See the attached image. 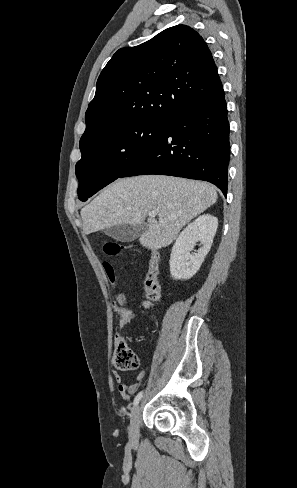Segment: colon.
Segmentation results:
<instances>
[{"instance_id":"obj_1","label":"colon","mask_w":297,"mask_h":488,"mask_svg":"<svg viewBox=\"0 0 297 488\" xmlns=\"http://www.w3.org/2000/svg\"><path fill=\"white\" fill-rule=\"evenodd\" d=\"M124 248V245L114 242H108L104 245L105 253L110 256L117 255ZM103 265L109 279L113 281L115 278L113 266L108 262H104ZM157 266L158 255L156 252L152 251L149 260L148 273L144 283L145 300L143 305L146 309L154 307L160 298V287L157 281ZM123 302L124 297L120 295L117 303L118 305H122ZM113 361L115 366L122 371H132L138 367L137 357L121 337L116 338Z\"/></svg>"}]
</instances>
